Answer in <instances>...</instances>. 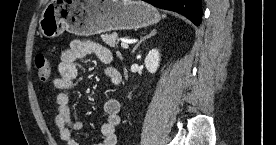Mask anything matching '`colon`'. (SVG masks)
<instances>
[{
  "instance_id": "colon-1",
  "label": "colon",
  "mask_w": 276,
  "mask_h": 145,
  "mask_svg": "<svg viewBox=\"0 0 276 145\" xmlns=\"http://www.w3.org/2000/svg\"><path fill=\"white\" fill-rule=\"evenodd\" d=\"M35 68L37 78L41 82H45L50 78L51 65L43 54H38L35 59Z\"/></svg>"
}]
</instances>
